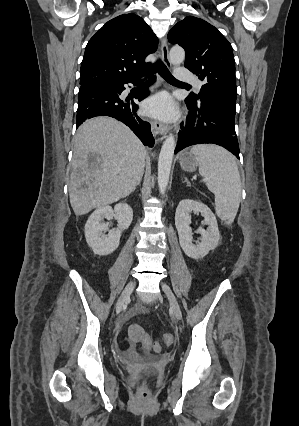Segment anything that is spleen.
I'll list each match as a JSON object with an SVG mask.
<instances>
[{"label":"spleen","instance_id":"1","mask_svg":"<svg viewBox=\"0 0 299 426\" xmlns=\"http://www.w3.org/2000/svg\"><path fill=\"white\" fill-rule=\"evenodd\" d=\"M190 153L199 164V173L215 195L217 215L231 224L241 198V179L236 161L225 149L215 145H195Z\"/></svg>","mask_w":299,"mask_h":426}]
</instances>
